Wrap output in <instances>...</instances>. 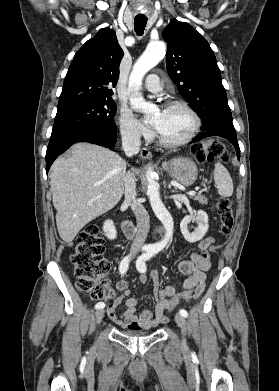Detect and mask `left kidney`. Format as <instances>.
<instances>
[{"label": "left kidney", "mask_w": 279, "mask_h": 391, "mask_svg": "<svg viewBox=\"0 0 279 391\" xmlns=\"http://www.w3.org/2000/svg\"><path fill=\"white\" fill-rule=\"evenodd\" d=\"M194 219L197 222V227L191 233L188 228L190 221ZM208 215L206 212L199 210L195 216L187 215L180 223V230L186 241L195 243L201 240L208 231Z\"/></svg>", "instance_id": "5707ae66"}]
</instances>
